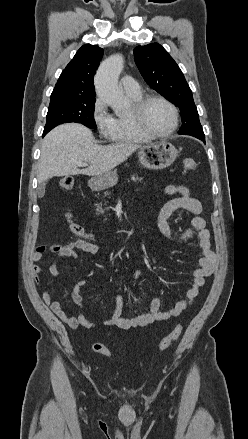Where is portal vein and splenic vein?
<instances>
[{
  "instance_id": "obj_1",
  "label": "portal vein and splenic vein",
  "mask_w": 248,
  "mask_h": 439,
  "mask_svg": "<svg viewBox=\"0 0 248 439\" xmlns=\"http://www.w3.org/2000/svg\"><path fill=\"white\" fill-rule=\"evenodd\" d=\"M77 165L80 166V167H85V166H87L88 164L85 163V162H78Z\"/></svg>"
}]
</instances>
